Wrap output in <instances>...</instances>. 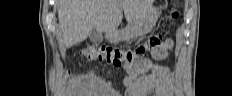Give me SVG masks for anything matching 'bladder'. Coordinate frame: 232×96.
Instances as JSON below:
<instances>
[{
	"label": "bladder",
	"instance_id": "1",
	"mask_svg": "<svg viewBox=\"0 0 232 96\" xmlns=\"http://www.w3.org/2000/svg\"><path fill=\"white\" fill-rule=\"evenodd\" d=\"M73 85H74V86H73L74 89H76V90H77V89H80V87H79L78 85H75V84H73Z\"/></svg>",
	"mask_w": 232,
	"mask_h": 96
}]
</instances>
